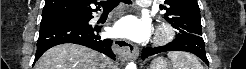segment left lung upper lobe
Listing matches in <instances>:
<instances>
[{
  "instance_id": "left-lung-upper-lobe-1",
  "label": "left lung upper lobe",
  "mask_w": 246,
  "mask_h": 69,
  "mask_svg": "<svg viewBox=\"0 0 246 69\" xmlns=\"http://www.w3.org/2000/svg\"><path fill=\"white\" fill-rule=\"evenodd\" d=\"M160 9L165 10L164 18L181 34L202 35L197 0H165Z\"/></svg>"
}]
</instances>
